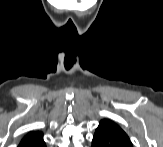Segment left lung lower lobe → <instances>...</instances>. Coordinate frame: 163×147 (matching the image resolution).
Returning <instances> with one entry per match:
<instances>
[{"mask_svg":"<svg viewBox=\"0 0 163 147\" xmlns=\"http://www.w3.org/2000/svg\"><path fill=\"white\" fill-rule=\"evenodd\" d=\"M92 147H132V144L124 131L97 128L92 140Z\"/></svg>","mask_w":163,"mask_h":147,"instance_id":"left-lung-lower-lobe-1","label":"left lung lower lobe"}]
</instances>
